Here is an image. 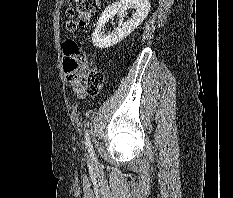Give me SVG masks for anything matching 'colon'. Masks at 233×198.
I'll list each match as a JSON object with an SVG mask.
<instances>
[{
  "instance_id": "1",
  "label": "colon",
  "mask_w": 233,
  "mask_h": 198,
  "mask_svg": "<svg viewBox=\"0 0 233 198\" xmlns=\"http://www.w3.org/2000/svg\"><path fill=\"white\" fill-rule=\"evenodd\" d=\"M75 11L68 8L67 20L64 24L66 32L75 34L80 26H86L98 13V0H70ZM64 70L72 88L78 93L95 94L103 84V73L89 67L83 50L73 39H67L63 44Z\"/></svg>"
}]
</instances>
